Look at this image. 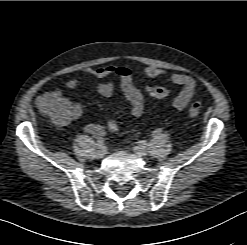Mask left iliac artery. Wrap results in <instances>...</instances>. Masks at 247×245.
Masks as SVG:
<instances>
[{
  "mask_svg": "<svg viewBox=\"0 0 247 245\" xmlns=\"http://www.w3.org/2000/svg\"><path fill=\"white\" fill-rule=\"evenodd\" d=\"M161 134H162V129L161 128H158V129H156V130L153 131L152 136L155 137V138H157Z\"/></svg>",
  "mask_w": 247,
  "mask_h": 245,
  "instance_id": "obj_1",
  "label": "left iliac artery"
}]
</instances>
